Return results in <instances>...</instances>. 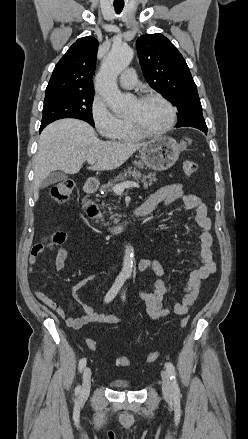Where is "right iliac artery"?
Instances as JSON below:
<instances>
[{
    "label": "right iliac artery",
    "instance_id": "obj_1",
    "mask_svg": "<svg viewBox=\"0 0 248 439\" xmlns=\"http://www.w3.org/2000/svg\"><path fill=\"white\" fill-rule=\"evenodd\" d=\"M126 279H127V275H125V274H120L116 278L113 286L111 287V289L108 291V293L105 296L104 300H105L106 303H109L110 301H112L114 299V297L117 295V293L119 292V290L123 286V284H124ZM86 363H87V361H86L85 358H82L79 361L78 369H79L80 372H82V370L85 368ZM76 391L80 392V386H77Z\"/></svg>",
    "mask_w": 248,
    "mask_h": 439
}]
</instances>
